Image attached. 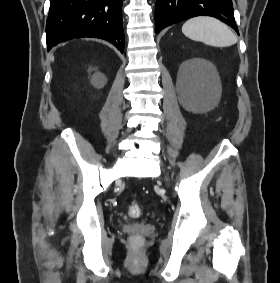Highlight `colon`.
Instances as JSON below:
<instances>
[{
    "label": "colon",
    "mask_w": 280,
    "mask_h": 283,
    "mask_svg": "<svg viewBox=\"0 0 280 283\" xmlns=\"http://www.w3.org/2000/svg\"><path fill=\"white\" fill-rule=\"evenodd\" d=\"M141 214V209L139 207V205L137 204H133L129 207L128 209V215L132 218H137L139 217Z\"/></svg>",
    "instance_id": "1"
}]
</instances>
